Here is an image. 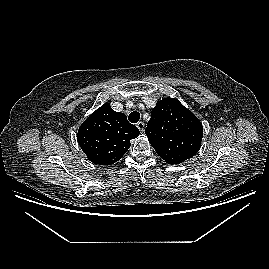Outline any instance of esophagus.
Returning a JSON list of instances; mask_svg holds the SVG:
<instances>
[{
    "label": "esophagus",
    "mask_w": 269,
    "mask_h": 269,
    "mask_svg": "<svg viewBox=\"0 0 269 269\" xmlns=\"http://www.w3.org/2000/svg\"><path fill=\"white\" fill-rule=\"evenodd\" d=\"M137 128L139 129V131L142 133L144 131V128H145V124L140 121L136 124Z\"/></svg>",
    "instance_id": "34e87169"
}]
</instances>
